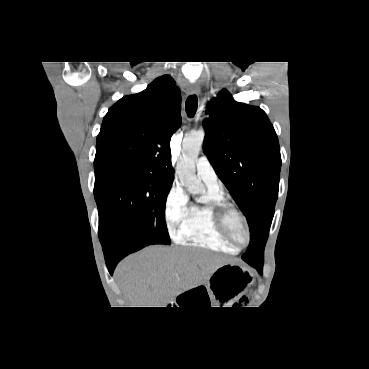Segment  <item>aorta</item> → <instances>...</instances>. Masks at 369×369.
<instances>
[{
  "instance_id": "obj_1",
  "label": "aorta",
  "mask_w": 369,
  "mask_h": 369,
  "mask_svg": "<svg viewBox=\"0 0 369 369\" xmlns=\"http://www.w3.org/2000/svg\"><path fill=\"white\" fill-rule=\"evenodd\" d=\"M204 137L203 129L186 135L182 143V156L177 163L180 182L191 194H199L205 190L201 181L197 179L195 170V160L199 155Z\"/></svg>"
}]
</instances>
